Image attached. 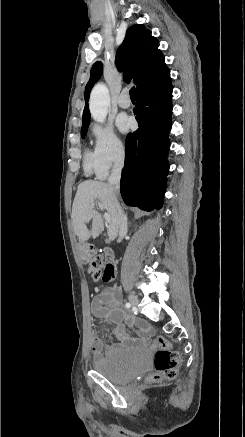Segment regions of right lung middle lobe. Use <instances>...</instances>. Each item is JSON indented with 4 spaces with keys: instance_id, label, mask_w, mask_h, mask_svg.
Returning a JSON list of instances; mask_svg holds the SVG:
<instances>
[{
    "instance_id": "dd1d6c3e",
    "label": "right lung middle lobe",
    "mask_w": 245,
    "mask_h": 437,
    "mask_svg": "<svg viewBox=\"0 0 245 437\" xmlns=\"http://www.w3.org/2000/svg\"><path fill=\"white\" fill-rule=\"evenodd\" d=\"M89 125L83 126L81 129V137L84 138L87 132V128Z\"/></svg>"
}]
</instances>
